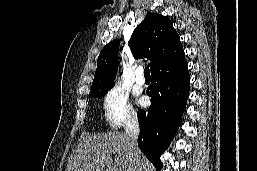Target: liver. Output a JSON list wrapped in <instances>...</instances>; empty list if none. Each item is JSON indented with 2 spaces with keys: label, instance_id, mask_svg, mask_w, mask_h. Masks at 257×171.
I'll return each mask as SVG.
<instances>
[{
  "label": "liver",
  "instance_id": "1",
  "mask_svg": "<svg viewBox=\"0 0 257 171\" xmlns=\"http://www.w3.org/2000/svg\"><path fill=\"white\" fill-rule=\"evenodd\" d=\"M82 137L69 157L66 171H131L130 140L125 133H84Z\"/></svg>",
  "mask_w": 257,
  "mask_h": 171
}]
</instances>
